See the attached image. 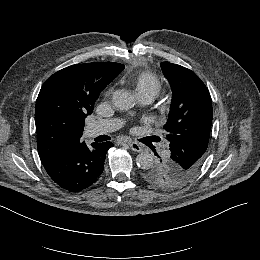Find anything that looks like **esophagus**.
Returning <instances> with one entry per match:
<instances>
[{
	"label": "esophagus",
	"instance_id": "obj_1",
	"mask_svg": "<svg viewBox=\"0 0 260 260\" xmlns=\"http://www.w3.org/2000/svg\"><path fill=\"white\" fill-rule=\"evenodd\" d=\"M130 148L135 152H141L143 149L137 142H130L129 143Z\"/></svg>",
	"mask_w": 260,
	"mask_h": 260
}]
</instances>
